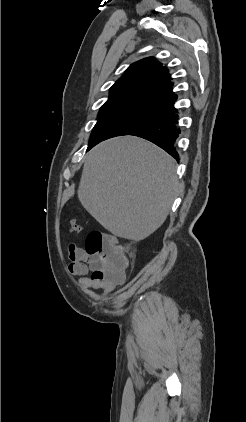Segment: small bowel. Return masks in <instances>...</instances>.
<instances>
[{"label": "small bowel", "mask_w": 246, "mask_h": 422, "mask_svg": "<svg viewBox=\"0 0 246 422\" xmlns=\"http://www.w3.org/2000/svg\"><path fill=\"white\" fill-rule=\"evenodd\" d=\"M69 251V271L72 275L78 276V282L83 288L101 289L103 295H108L115 290L117 286L123 283L124 274L116 279H99L94 273L99 267L98 259L90 255L84 248L75 244H70ZM89 273L91 275L89 276Z\"/></svg>", "instance_id": "1"}]
</instances>
